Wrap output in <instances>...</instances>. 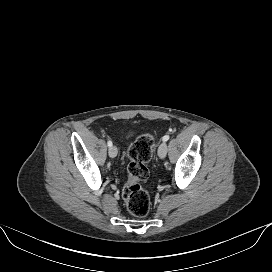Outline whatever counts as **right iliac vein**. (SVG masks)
<instances>
[{"label":"right iliac vein","instance_id":"1","mask_svg":"<svg viewBox=\"0 0 272 272\" xmlns=\"http://www.w3.org/2000/svg\"><path fill=\"white\" fill-rule=\"evenodd\" d=\"M108 153H109V156H110L111 158L116 157V156H117V153H118L117 148H116L115 146H111V147L109 148Z\"/></svg>","mask_w":272,"mask_h":272}]
</instances>
